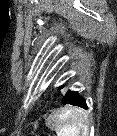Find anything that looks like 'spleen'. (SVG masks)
<instances>
[{"mask_svg": "<svg viewBox=\"0 0 117 136\" xmlns=\"http://www.w3.org/2000/svg\"><path fill=\"white\" fill-rule=\"evenodd\" d=\"M88 123L87 115L82 109L70 106L57 110L46 121L57 136H87Z\"/></svg>", "mask_w": 117, "mask_h": 136, "instance_id": "spleen-1", "label": "spleen"}]
</instances>
